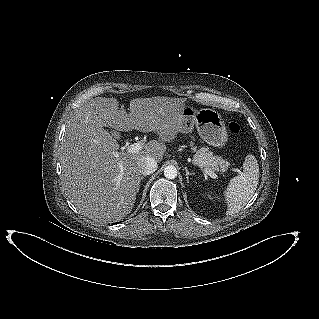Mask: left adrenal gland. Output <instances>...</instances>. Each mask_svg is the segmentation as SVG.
Listing matches in <instances>:
<instances>
[{
	"label": "left adrenal gland",
	"instance_id": "1",
	"mask_svg": "<svg viewBox=\"0 0 319 319\" xmlns=\"http://www.w3.org/2000/svg\"><path fill=\"white\" fill-rule=\"evenodd\" d=\"M184 170H185V172H186V179H187V182H189V175H194V173H193V172H192V173H189V171H188L187 167H184Z\"/></svg>",
	"mask_w": 319,
	"mask_h": 319
}]
</instances>
